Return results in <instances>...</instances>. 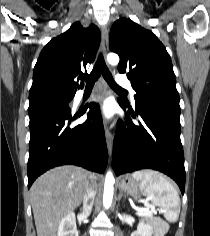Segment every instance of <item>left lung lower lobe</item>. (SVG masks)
Listing matches in <instances>:
<instances>
[{
    "mask_svg": "<svg viewBox=\"0 0 210 236\" xmlns=\"http://www.w3.org/2000/svg\"><path fill=\"white\" fill-rule=\"evenodd\" d=\"M125 110L126 105L118 99ZM133 110L126 114L127 123L114 138L113 163L116 175L139 169H155L173 178L182 194L185 189L184 154L180 140L179 103L152 99L136 103L139 125Z\"/></svg>",
    "mask_w": 210,
    "mask_h": 236,
    "instance_id": "obj_1",
    "label": "left lung lower lobe"
}]
</instances>
